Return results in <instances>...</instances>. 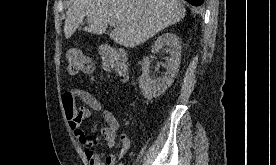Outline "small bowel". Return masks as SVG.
<instances>
[{"instance_id":"small-bowel-1","label":"small bowel","mask_w":276,"mask_h":165,"mask_svg":"<svg viewBox=\"0 0 276 165\" xmlns=\"http://www.w3.org/2000/svg\"><path fill=\"white\" fill-rule=\"evenodd\" d=\"M77 100H81L86 106L77 108ZM62 106L75 138L85 147L89 165H116L118 156L113 152L106 156L96 152L93 149V142L87 138L81 127L82 123L90 116L91 110L100 113L106 122V127L101 130V136L108 148L114 149L117 144V131L119 129V121L116 116L106 110L92 93L83 89H67L62 95ZM119 141L121 143V154H123L130 147V140L126 134H121Z\"/></svg>"}]
</instances>
